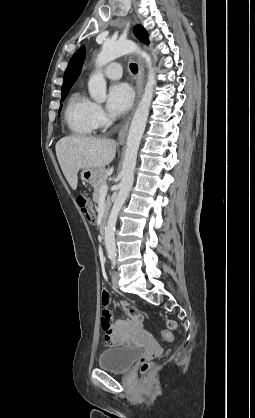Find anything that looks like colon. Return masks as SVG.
Returning a JSON list of instances; mask_svg holds the SVG:
<instances>
[{
	"label": "colon",
	"instance_id": "1",
	"mask_svg": "<svg viewBox=\"0 0 255 418\" xmlns=\"http://www.w3.org/2000/svg\"><path fill=\"white\" fill-rule=\"evenodd\" d=\"M76 202H77L78 207L82 211V213L87 218V220L89 222H94L95 213H94V210H93V208L91 206V203H90L88 197L85 194L80 193L76 197ZM167 326H168V329L170 331H173V330H175L177 328V324L173 320H169L167 322ZM163 338H164L165 341L171 342L172 339H173V336H172L171 332L165 331L163 333ZM151 367H152V362L143 361L141 363V366H140V372L142 374H145V373H147L150 370Z\"/></svg>",
	"mask_w": 255,
	"mask_h": 418
}]
</instances>
